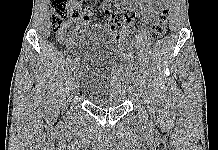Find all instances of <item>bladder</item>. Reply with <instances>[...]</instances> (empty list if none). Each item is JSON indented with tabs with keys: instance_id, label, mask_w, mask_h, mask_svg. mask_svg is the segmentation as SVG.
<instances>
[{
	"instance_id": "obj_1",
	"label": "bladder",
	"mask_w": 218,
	"mask_h": 150,
	"mask_svg": "<svg viewBox=\"0 0 218 150\" xmlns=\"http://www.w3.org/2000/svg\"><path fill=\"white\" fill-rule=\"evenodd\" d=\"M82 54L83 63L76 71L81 94L100 108L122 105L132 91L134 74L119 43L94 31L83 39Z\"/></svg>"
}]
</instances>
